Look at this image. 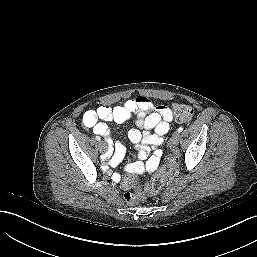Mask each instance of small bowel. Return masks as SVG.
Listing matches in <instances>:
<instances>
[{
    "label": "small bowel",
    "instance_id": "c3829d8e",
    "mask_svg": "<svg viewBox=\"0 0 257 257\" xmlns=\"http://www.w3.org/2000/svg\"><path fill=\"white\" fill-rule=\"evenodd\" d=\"M132 115L136 116L135 127L128 131V140L136 145L138 157L146 159L145 164L135 163L130 166L134 172L156 170L160 163L161 151L155 147L162 144L169 131L170 123L174 120L171 109L165 105L154 104L144 96H137L126 100L122 105L110 106L103 104L96 109L88 110L82 119L83 125L95 134L103 136L109 146L107 156L109 165L115 167L125 157V148L119 143H113L107 122L123 123ZM114 180L119 176L114 174ZM127 189L129 185L123 183Z\"/></svg>",
    "mask_w": 257,
    "mask_h": 257
}]
</instances>
